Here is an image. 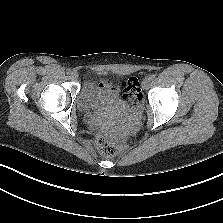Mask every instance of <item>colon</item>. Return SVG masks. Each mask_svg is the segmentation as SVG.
<instances>
[{"mask_svg": "<svg viewBox=\"0 0 223 223\" xmlns=\"http://www.w3.org/2000/svg\"><path fill=\"white\" fill-rule=\"evenodd\" d=\"M123 97L132 104H138L142 99L141 90L137 78L131 77L125 84ZM99 148L102 154L112 156L116 152V145L108 137L99 141Z\"/></svg>", "mask_w": 223, "mask_h": 223, "instance_id": "1", "label": "colon"}]
</instances>
